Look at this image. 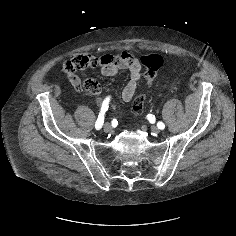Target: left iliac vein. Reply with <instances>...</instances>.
<instances>
[{"mask_svg": "<svg viewBox=\"0 0 236 236\" xmlns=\"http://www.w3.org/2000/svg\"><path fill=\"white\" fill-rule=\"evenodd\" d=\"M151 131L155 134H158L160 132V129L157 126H151Z\"/></svg>", "mask_w": 236, "mask_h": 236, "instance_id": "4c4485c4", "label": "left iliac vein"}]
</instances>
